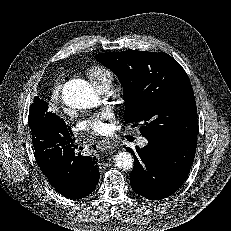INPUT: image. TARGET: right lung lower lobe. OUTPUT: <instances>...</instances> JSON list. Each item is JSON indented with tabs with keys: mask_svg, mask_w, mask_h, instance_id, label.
Listing matches in <instances>:
<instances>
[{
	"mask_svg": "<svg viewBox=\"0 0 231 231\" xmlns=\"http://www.w3.org/2000/svg\"><path fill=\"white\" fill-rule=\"evenodd\" d=\"M47 110L44 101L35 122L30 125L38 166L61 195L70 199L88 196L95 190L100 177L96 157L75 153L71 129Z\"/></svg>",
	"mask_w": 231,
	"mask_h": 231,
	"instance_id": "1",
	"label": "right lung lower lobe"
}]
</instances>
